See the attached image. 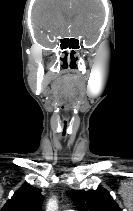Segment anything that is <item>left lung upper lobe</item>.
<instances>
[{
	"label": "left lung upper lobe",
	"instance_id": "1",
	"mask_svg": "<svg viewBox=\"0 0 133 211\" xmlns=\"http://www.w3.org/2000/svg\"><path fill=\"white\" fill-rule=\"evenodd\" d=\"M70 196L79 211H122L104 188L97 190H71Z\"/></svg>",
	"mask_w": 133,
	"mask_h": 211
}]
</instances>
